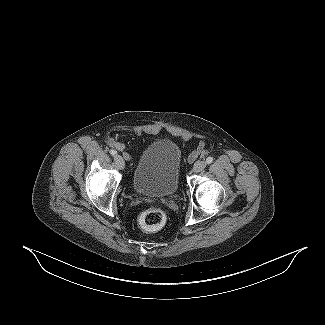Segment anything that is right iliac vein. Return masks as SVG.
<instances>
[{"label":"right iliac vein","instance_id":"1","mask_svg":"<svg viewBox=\"0 0 325 325\" xmlns=\"http://www.w3.org/2000/svg\"><path fill=\"white\" fill-rule=\"evenodd\" d=\"M114 161L116 165L118 166L119 169H123L125 167V161L122 156L120 155H115Z\"/></svg>","mask_w":325,"mask_h":325}]
</instances>
